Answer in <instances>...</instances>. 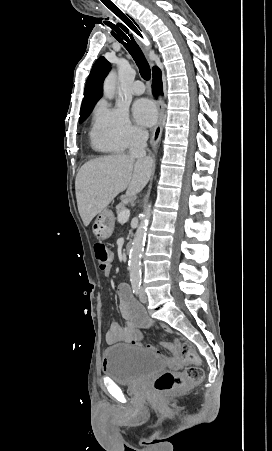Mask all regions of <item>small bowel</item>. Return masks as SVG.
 <instances>
[{
  "mask_svg": "<svg viewBox=\"0 0 272 451\" xmlns=\"http://www.w3.org/2000/svg\"><path fill=\"white\" fill-rule=\"evenodd\" d=\"M111 271V263L104 270V274L108 276ZM117 295L119 298L118 309L125 325L122 326L117 322H112L109 330L106 333V342L108 344L126 343L136 347H142L140 335L137 331V326H145L148 319L144 313L143 308L138 304L132 296L130 287L121 283L117 288ZM165 331H169L164 327ZM180 344L178 337H174L173 341H164L161 347L168 350L169 348H177ZM147 348L152 351H158V348L153 345H148Z\"/></svg>",
  "mask_w": 272,
  "mask_h": 451,
  "instance_id": "small-bowel-1",
  "label": "small bowel"
}]
</instances>
